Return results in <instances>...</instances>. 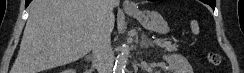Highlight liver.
I'll return each instance as SVG.
<instances>
[{"label":"liver","instance_id":"6515ba94","mask_svg":"<svg viewBox=\"0 0 244 73\" xmlns=\"http://www.w3.org/2000/svg\"><path fill=\"white\" fill-rule=\"evenodd\" d=\"M103 0H33L11 73H40L87 55L103 23L114 27Z\"/></svg>","mask_w":244,"mask_h":73}]
</instances>
